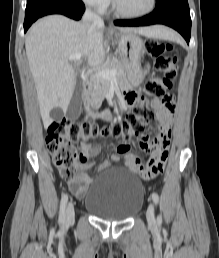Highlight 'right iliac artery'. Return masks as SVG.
Wrapping results in <instances>:
<instances>
[{
  "label": "right iliac artery",
  "instance_id": "1",
  "mask_svg": "<svg viewBox=\"0 0 219 258\" xmlns=\"http://www.w3.org/2000/svg\"><path fill=\"white\" fill-rule=\"evenodd\" d=\"M68 201V195L64 194L61 198L60 203V215H59V222L64 223L65 222V209Z\"/></svg>",
  "mask_w": 219,
  "mask_h": 258
}]
</instances>
